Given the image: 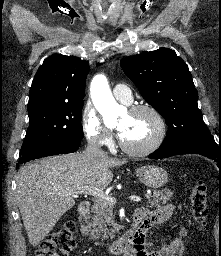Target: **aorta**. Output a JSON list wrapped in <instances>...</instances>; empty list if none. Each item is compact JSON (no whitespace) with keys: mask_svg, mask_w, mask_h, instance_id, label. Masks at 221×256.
<instances>
[{"mask_svg":"<svg viewBox=\"0 0 221 256\" xmlns=\"http://www.w3.org/2000/svg\"><path fill=\"white\" fill-rule=\"evenodd\" d=\"M92 101L103 116L105 122L115 119L121 106L115 101L107 81L104 75H96L91 82L90 86Z\"/></svg>","mask_w":221,"mask_h":256,"instance_id":"762f6f07","label":"aorta"}]
</instances>
